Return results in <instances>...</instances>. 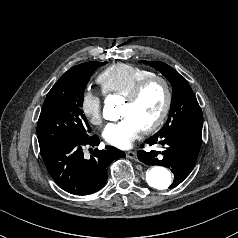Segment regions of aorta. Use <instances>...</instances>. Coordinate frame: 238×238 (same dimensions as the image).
I'll use <instances>...</instances> for the list:
<instances>
[{
    "label": "aorta",
    "mask_w": 238,
    "mask_h": 238,
    "mask_svg": "<svg viewBox=\"0 0 238 238\" xmlns=\"http://www.w3.org/2000/svg\"><path fill=\"white\" fill-rule=\"evenodd\" d=\"M118 108L113 98H107L103 109V117L114 121L118 118ZM146 181L149 186L157 190H166L172 183L171 172L162 166H153L146 172Z\"/></svg>",
    "instance_id": "1"
}]
</instances>
